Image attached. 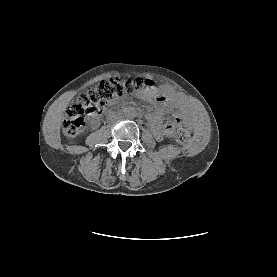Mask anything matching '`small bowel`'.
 Returning a JSON list of instances; mask_svg holds the SVG:
<instances>
[{"mask_svg": "<svg viewBox=\"0 0 277 277\" xmlns=\"http://www.w3.org/2000/svg\"><path fill=\"white\" fill-rule=\"evenodd\" d=\"M164 98V97H163ZM164 103L155 112L147 111L145 112L146 119L150 122L152 131L157 139H163L169 137L172 134L174 123L165 122L163 119V114L167 106V99L164 98ZM97 119L91 117L89 119V125L91 127L97 126Z\"/></svg>", "mask_w": 277, "mask_h": 277, "instance_id": "1", "label": "small bowel"}]
</instances>
